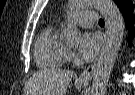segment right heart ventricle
I'll return each mask as SVG.
<instances>
[{"label": "right heart ventricle", "mask_w": 135, "mask_h": 95, "mask_svg": "<svg viewBox=\"0 0 135 95\" xmlns=\"http://www.w3.org/2000/svg\"><path fill=\"white\" fill-rule=\"evenodd\" d=\"M61 24L53 22L47 24L40 32L35 42V60L43 68H57L62 66L67 58L68 50L60 38Z\"/></svg>", "instance_id": "e07e8e85"}]
</instances>
